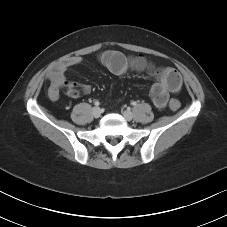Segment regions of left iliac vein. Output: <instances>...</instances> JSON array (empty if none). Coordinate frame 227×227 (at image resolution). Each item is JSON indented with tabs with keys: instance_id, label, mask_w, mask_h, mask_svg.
Listing matches in <instances>:
<instances>
[{
	"instance_id": "obj_1",
	"label": "left iliac vein",
	"mask_w": 227,
	"mask_h": 227,
	"mask_svg": "<svg viewBox=\"0 0 227 227\" xmlns=\"http://www.w3.org/2000/svg\"><path fill=\"white\" fill-rule=\"evenodd\" d=\"M123 116L127 121H131L134 117L133 113L130 110H125Z\"/></svg>"
}]
</instances>
